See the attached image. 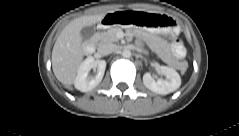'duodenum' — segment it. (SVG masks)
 Segmentation results:
<instances>
[{
	"label": "duodenum",
	"instance_id": "duodenum-1",
	"mask_svg": "<svg viewBox=\"0 0 239 136\" xmlns=\"http://www.w3.org/2000/svg\"><path fill=\"white\" fill-rule=\"evenodd\" d=\"M117 20L115 19V17L113 15L111 16H107L106 18L103 19V21L101 22V25H110L115 23ZM95 42H89L85 45L84 47V51L87 55H91L94 53L95 51Z\"/></svg>",
	"mask_w": 239,
	"mask_h": 136
}]
</instances>
